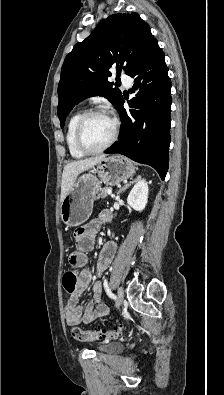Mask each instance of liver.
Returning a JSON list of instances; mask_svg holds the SVG:
<instances>
[{
  "mask_svg": "<svg viewBox=\"0 0 224 395\" xmlns=\"http://www.w3.org/2000/svg\"><path fill=\"white\" fill-rule=\"evenodd\" d=\"M105 157L106 155H99L96 157L81 159L68 163L64 167L61 182V202L68 194V192L72 189L78 175L83 171L94 167V165L98 164Z\"/></svg>",
  "mask_w": 224,
  "mask_h": 395,
  "instance_id": "liver-1",
  "label": "liver"
}]
</instances>
